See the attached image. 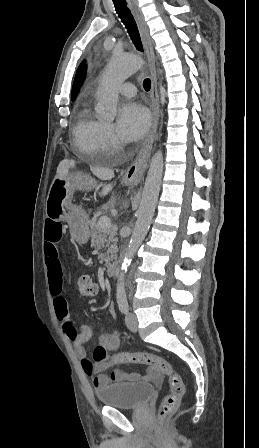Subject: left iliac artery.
I'll use <instances>...</instances> for the list:
<instances>
[{"label": "left iliac artery", "instance_id": "44dca946", "mask_svg": "<svg viewBox=\"0 0 259 448\" xmlns=\"http://www.w3.org/2000/svg\"><path fill=\"white\" fill-rule=\"evenodd\" d=\"M117 303L122 313L128 312L129 305L127 301L125 286L123 283H119L117 285Z\"/></svg>", "mask_w": 259, "mask_h": 448}]
</instances>
